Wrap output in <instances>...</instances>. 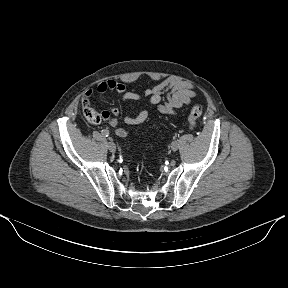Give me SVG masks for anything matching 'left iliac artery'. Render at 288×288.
Instances as JSON below:
<instances>
[{
  "instance_id": "1",
  "label": "left iliac artery",
  "mask_w": 288,
  "mask_h": 288,
  "mask_svg": "<svg viewBox=\"0 0 288 288\" xmlns=\"http://www.w3.org/2000/svg\"><path fill=\"white\" fill-rule=\"evenodd\" d=\"M171 140H172L173 142H176V141L178 140V135H177V134H172V135H171Z\"/></svg>"
}]
</instances>
